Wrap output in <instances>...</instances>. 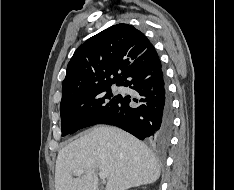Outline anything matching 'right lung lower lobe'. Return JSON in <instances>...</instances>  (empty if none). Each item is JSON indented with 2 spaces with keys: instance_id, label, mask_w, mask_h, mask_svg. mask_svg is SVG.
Returning <instances> with one entry per match:
<instances>
[{
  "instance_id": "obj_1",
  "label": "right lung lower lobe",
  "mask_w": 234,
  "mask_h": 190,
  "mask_svg": "<svg viewBox=\"0 0 234 190\" xmlns=\"http://www.w3.org/2000/svg\"><path fill=\"white\" fill-rule=\"evenodd\" d=\"M117 85L133 89L137 96L120 95L116 107L98 124L114 125L138 139L166 146L172 131V110L153 45L126 68Z\"/></svg>"
}]
</instances>
